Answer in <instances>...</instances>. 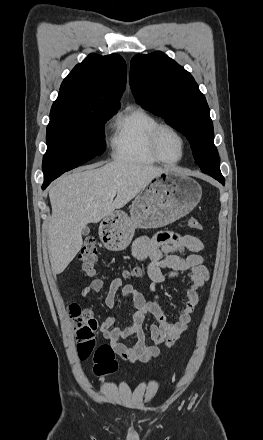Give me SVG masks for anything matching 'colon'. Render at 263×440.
<instances>
[{
    "instance_id": "5ec220e1",
    "label": "colon",
    "mask_w": 263,
    "mask_h": 440,
    "mask_svg": "<svg viewBox=\"0 0 263 440\" xmlns=\"http://www.w3.org/2000/svg\"><path fill=\"white\" fill-rule=\"evenodd\" d=\"M189 226L195 230H202L201 222L196 218L189 219ZM79 258L82 270L89 276L94 274V264L99 258V251L96 241L87 238L82 246ZM143 273L141 267H134L129 275L139 277ZM68 316L72 321L77 340V352L81 360L90 356L94 359V371L98 376H104L115 372L117 363L114 352L109 345H97L96 338L99 333V323L93 317L91 311L85 309L78 303H69L67 307Z\"/></svg>"
}]
</instances>
